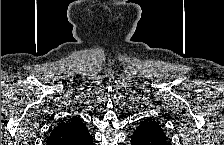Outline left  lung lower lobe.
Instances as JSON below:
<instances>
[{
    "instance_id": "obj_1",
    "label": "left lung lower lobe",
    "mask_w": 224,
    "mask_h": 145,
    "mask_svg": "<svg viewBox=\"0 0 224 145\" xmlns=\"http://www.w3.org/2000/svg\"><path fill=\"white\" fill-rule=\"evenodd\" d=\"M131 145H167L161 127L153 121L142 122L131 137Z\"/></svg>"
}]
</instances>
